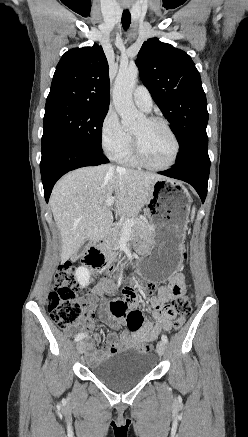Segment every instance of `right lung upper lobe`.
Masks as SVG:
<instances>
[{"instance_id": "cb5924a9", "label": "right lung upper lobe", "mask_w": 248, "mask_h": 437, "mask_svg": "<svg viewBox=\"0 0 248 437\" xmlns=\"http://www.w3.org/2000/svg\"><path fill=\"white\" fill-rule=\"evenodd\" d=\"M109 72L102 47L74 48L60 59L47 101L65 100L109 108Z\"/></svg>"}]
</instances>
